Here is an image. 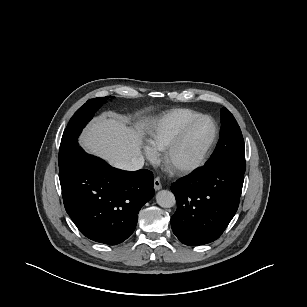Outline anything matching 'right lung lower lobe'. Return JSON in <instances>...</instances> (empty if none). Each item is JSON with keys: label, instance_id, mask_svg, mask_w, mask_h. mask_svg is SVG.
Returning a JSON list of instances; mask_svg holds the SVG:
<instances>
[{"label": "right lung lower lobe", "instance_id": "right-lung-lower-lobe-1", "mask_svg": "<svg viewBox=\"0 0 307 307\" xmlns=\"http://www.w3.org/2000/svg\"><path fill=\"white\" fill-rule=\"evenodd\" d=\"M64 206L87 238L116 245L135 230L141 207L154 195L153 174L120 171L77 148L59 166Z\"/></svg>", "mask_w": 307, "mask_h": 307}]
</instances>
